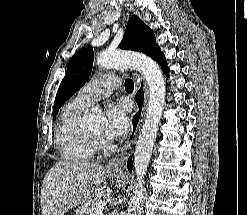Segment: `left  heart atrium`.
<instances>
[{
	"label": "left heart atrium",
	"mask_w": 247,
	"mask_h": 215,
	"mask_svg": "<svg viewBox=\"0 0 247 215\" xmlns=\"http://www.w3.org/2000/svg\"><path fill=\"white\" fill-rule=\"evenodd\" d=\"M128 107L125 102L110 104L106 110L104 133L110 139L125 135L129 128Z\"/></svg>",
	"instance_id": "1"
}]
</instances>
